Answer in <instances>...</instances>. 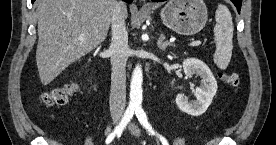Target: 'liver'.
I'll use <instances>...</instances> for the list:
<instances>
[{
    "instance_id": "liver-1",
    "label": "liver",
    "mask_w": 276,
    "mask_h": 145,
    "mask_svg": "<svg viewBox=\"0 0 276 145\" xmlns=\"http://www.w3.org/2000/svg\"><path fill=\"white\" fill-rule=\"evenodd\" d=\"M116 3V0L36 1L39 37L36 62L43 85L51 83L71 63L105 40Z\"/></svg>"
}]
</instances>
